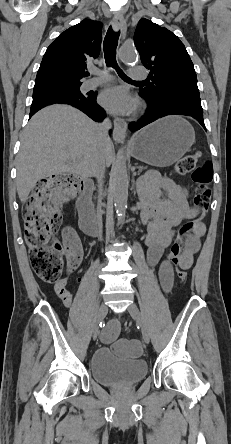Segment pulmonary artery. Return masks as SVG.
Here are the masks:
<instances>
[{
  "mask_svg": "<svg viewBox=\"0 0 231 444\" xmlns=\"http://www.w3.org/2000/svg\"><path fill=\"white\" fill-rule=\"evenodd\" d=\"M98 73L97 77L87 80L84 83V89H92L95 88L105 82H108L112 79V76L103 71H96ZM130 77L134 80H143L146 76V70L143 67H132L129 70Z\"/></svg>",
  "mask_w": 231,
  "mask_h": 444,
  "instance_id": "pulmonary-artery-1",
  "label": "pulmonary artery"
}]
</instances>
